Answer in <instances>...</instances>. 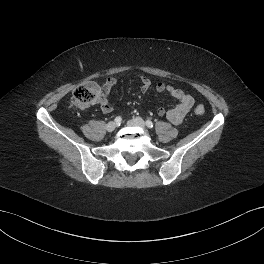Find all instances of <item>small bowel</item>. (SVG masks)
Here are the masks:
<instances>
[{"instance_id": "1", "label": "small bowel", "mask_w": 264, "mask_h": 264, "mask_svg": "<svg viewBox=\"0 0 264 264\" xmlns=\"http://www.w3.org/2000/svg\"><path fill=\"white\" fill-rule=\"evenodd\" d=\"M140 82L141 91L144 93L147 92L151 87L150 79L147 77H141ZM115 84L116 80L114 78H108L103 85V93L98 100V104L104 113H109L112 111V105L108 101V94ZM156 90L160 93H168L178 102L177 105L171 109H165L164 107L158 108L157 114L159 116H165L171 123L175 125L180 124L193 107V97L185 93L183 90L163 82H159L156 85Z\"/></svg>"}]
</instances>
